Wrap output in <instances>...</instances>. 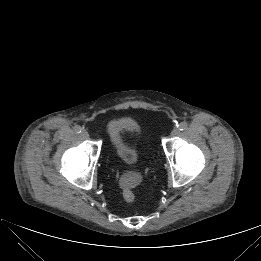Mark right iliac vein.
Returning a JSON list of instances; mask_svg holds the SVG:
<instances>
[{
  "label": "right iliac vein",
  "instance_id": "1",
  "mask_svg": "<svg viewBox=\"0 0 261 261\" xmlns=\"http://www.w3.org/2000/svg\"><path fill=\"white\" fill-rule=\"evenodd\" d=\"M81 135L83 138H86V139L89 138V133L85 130L82 131Z\"/></svg>",
  "mask_w": 261,
  "mask_h": 261
}]
</instances>
